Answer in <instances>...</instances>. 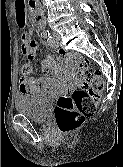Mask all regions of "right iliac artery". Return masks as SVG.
Segmentation results:
<instances>
[{
    "mask_svg": "<svg viewBox=\"0 0 123 167\" xmlns=\"http://www.w3.org/2000/svg\"><path fill=\"white\" fill-rule=\"evenodd\" d=\"M49 35H50V33H49L48 30L45 31V32H43V37H44V38H47Z\"/></svg>",
    "mask_w": 123,
    "mask_h": 167,
    "instance_id": "right-iliac-artery-1",
    "label": "right iliac artery"
}]
</instances>
